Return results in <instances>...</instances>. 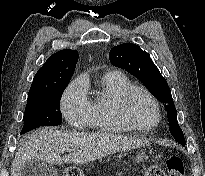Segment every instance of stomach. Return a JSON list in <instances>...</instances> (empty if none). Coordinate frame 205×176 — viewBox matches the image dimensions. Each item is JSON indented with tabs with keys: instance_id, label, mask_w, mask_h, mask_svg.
<instances>
[{
	"instance_id": "stomach-1",
	"label": "stomach",
	"mask_w": 205,
	"mask_h": 176,
	"mask_svg": "<svg viewBox=\"0 0 205 176\" xmlns=\"http://www.w3.org/2000/svg\"><path fill=\"white\" fill-rule=\"evenodd\" d=\"M147 159H148V156L143 152L137 153L135 156L132 157V160L135 163H140V162H143Z\"/></svg>"
}]
</instances>
